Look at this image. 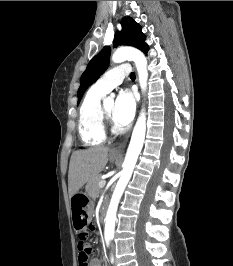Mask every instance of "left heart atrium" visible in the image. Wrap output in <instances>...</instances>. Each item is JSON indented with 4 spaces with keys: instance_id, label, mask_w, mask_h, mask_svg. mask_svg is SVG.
<instances>
[{
    "instance_id": "1",
    "label": "left heart atrium",
    "mask_w": 233,
    "mask_h": 266,
    "mask_svg": "<svg viewBox=\"0 0 233 266\" xmlns=\"http://www.w3.org/2000/svg\"><path fill=\"white\" fill-rule=\"evenodd\" d=\"M136 112V97L129 90L119 93L113 113V119L119 126L128 125L134 118Z\"/></svg>"
}]
</instances>
